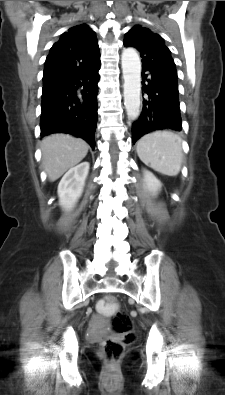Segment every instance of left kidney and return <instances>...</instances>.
<instances>
[{
	"mask_svg": "<svg viewBox=\"0 0 225 395\" xmlns=\"http://www.w3.org/2000/svg\"><path fill=\"white\" fill-rule=\"evenodd\" d=\"M143 175H144V185L145 188L148 192H150L152 195H156L162 187L161 182L156 178V176L148 171V170H144L143 171Z\"/></svg>",
	"mask_w": 225,
	"mask_h": 395,
	"instance_id": "1",
	"label": "left kidney"
}]
</instances>
